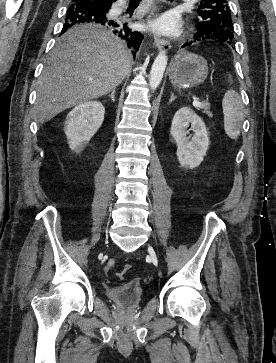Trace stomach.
Masks as SVG:
<instances>
[{
	"label": "stomach",
	"mask_w": 276,
	"mask_h": 363,
	"mask_svg": "<svg viewBox=\"0 0 276 363\" xmlns=\"http://www.w3.org/2000/svg\"><path fill=\"white\" fill-rule=\"evenodd\" d=\"M208 76L207 61L190 52L179 53L170 67L169 79L179 89H190L201 85Z\"/></svg>",
	"instance_id": "obj_1"
}]
</instances>
